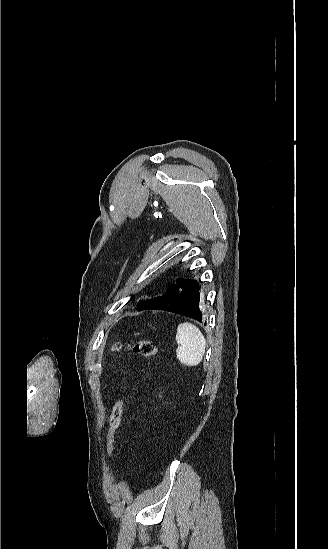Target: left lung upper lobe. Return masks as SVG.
<instances>
[{
	"instance_id": "5c2ea615",
	"label": "left lung upper lobe",
	"mask_w": 328,
	"mask_h": 549,
	"mask_svg": "<svg viewBox=\"0 0 328 549\" xmlns=\"http://www.w3.org/2000/svg\"><path fill=\"white\" fill-rule=\"evenodd\" d=\"M182 279H178L177 280V284H170L166 290V292H164V294L162 296H159V297H156V298H152L150 300H147L145 302H143L140 306H139V309L142 308L143 306L147 305V304H150V303H155L159 300H169V299H173L175 298L177 295H178V283L181 281Z\"/></svg>"
}]
</instances>
